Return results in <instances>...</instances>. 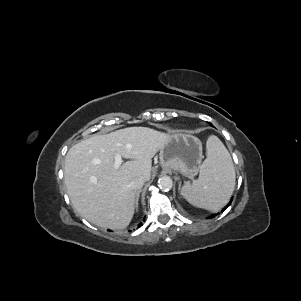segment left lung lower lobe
Here are the masks:
<instances>
[{
  "label": "left lung lower lobe",
  "instance_id": "left-lung-lower-lobe-1",
  "mask_svg": "<svg viewBox=\"0 0 301 301\" xmlns=\"http://www.w3.org/2000/svg\"><path fill=\"white\" fill-rule=\"evenodd\" d=\"M231 202H232V199H231V201L227 204V206H225V208H224L222 211H224V210L231 204Z\"/></svg>",
  "mask_w": 301,
  "mask_h": 301
}]
</instances>
